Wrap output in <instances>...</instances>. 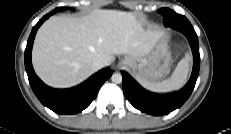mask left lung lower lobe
Wrapping results in <instances>:
<instances>
[{
  "label": "left lung lower lobe",
  "mask_w": 231,
  "mask_h": 134,
  "mask_svg": "<svg viewBox=\"0 0 231 134\" xmlns=\"http://www.w3.org/2000/svg\"><path fill=\"white\" fill-rule=\"evenodd\" d=\"M173 27L186 35L194 54V65L191 77L186 86L178 93L169 96H158L142 88L127 72H122L123 93L127 100L138 110L151 115L169 114L179 108L191 95L200 67V55L197 34L184 17L174 11L171 14Z\"/></svg>",
  "instance_id": "0a47b994"
}]
</instances>
